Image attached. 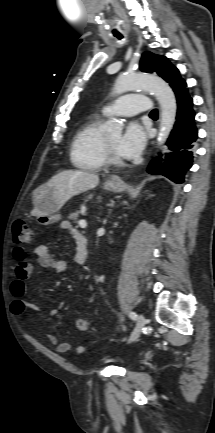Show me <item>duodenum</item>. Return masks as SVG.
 <instances>
[{"label":"duodenum","mask_w":215,"mask_h":433,"mask_svg":"<svg viewBox=\"0 0 215 433\" xmlns=\"http://www.w3.org/2000/svg\"><path fill=\"white\" fill-rule=\"evenodd\" d=\"M87 257H88V250H87V244L86 241H84L81 246H80V250H79V264H85L87 261Z\"/></svg>","instance_id":"410a0bca"}]
</instances>
